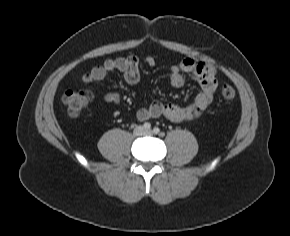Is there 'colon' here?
Returning <instances> with one entry per match:
<instances>
[{
	"mask_svg": "<svg viewBox=\"0 0 290 236\" xmlns=\"http://www.w3.org/2000/svg\"><path fill=\"white\" fill-rule=\"evenodd\" d=\"M221 95L225 100L235 98L236 92L230 85H224ZM92 93L86 89L67 90L62 96V102L66 105L68 114L76 117L89 105Z\"/></svg>",
	"mask_w": 290,
	"mask_h": 236,
	"instance_id": "5ec220e1",
	"label": "colon"
}]
</instances>
